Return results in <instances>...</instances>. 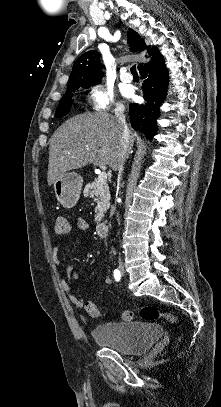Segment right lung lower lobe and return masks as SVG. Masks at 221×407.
Returning <instances> with one entry per match:
<instances>
[{
    "instance_id": "1",
    "label": "right lung lower lobe",
    "mask_w": 221,
    "mask_h": 407,
    "mask_svg": "<svg viewBox=\"0 0 221 407\" xmlns=\"http://www.w3.org/2000/svg\"><path fill=\"white\" fill-rule=\"evenodd\" d=\"M139 72L143 83V93L146 103L130 104L129 113L131 125L134 129L143 131L146 137L152 138L158 130L156 120L160 116L159 107L167 95L168 74L164 59L156 51L150 62L141 65Z\"/></svg>"
}]
</instances>
